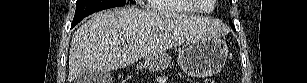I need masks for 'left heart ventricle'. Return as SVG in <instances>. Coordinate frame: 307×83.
Here are the masks:
<instances>
[{
  "label": "left heart ventricle",
  "mask_w": 307,
  "mask_h": 83,
  "mask_svg": "<svg viewBox=\"0 0 307 83\" xmlns=\"http://www.w3.org/2000/svg\"><path fill=\"white\" fill-rule=\"evenodd\" d=\"M203 3H207V2H203ZM210 8V5L209 4H206V5H202V9L203 10H208Z\"/></svg>",
  "instance_id": "obj_1"
}]
</instances>
